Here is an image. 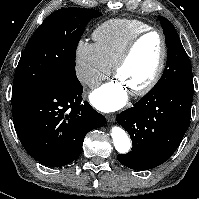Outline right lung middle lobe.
I'll return each mask as SVG.
<instances>
[{
  "instance_id": "1",
  "label": "right lung middle lobe",
  "mask_w": 199,
  "mask_h": 199,
  "mask_svg": "<svg viewBox=\"0 0 199 199\" xmlns=\"http://www.w3.org/2000/svg\"><path fill=\"white\" fill-rule=\"evenodd\" d=\"M102 13L86 8H63L49 15L32 35L16 68L12 105L53 85L80 87L75 54L85 26Z\"/></svg>"
}]
</instances>
